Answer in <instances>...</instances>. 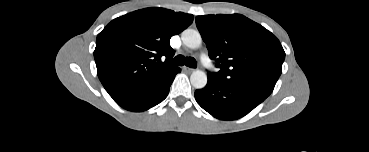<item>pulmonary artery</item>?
Segmentation results:
<instances>
[{
	"instance_id": "obj_1",
	"label": "pulmonary artery",
	"mask_w": 369,
	"mask_h": 152,
	"mask_svg": "<svg viewBox=\"0 0 369 152\" xmlns=\"http://www.w3.org/2000/svg\"><path fill=\"white\" fill-rule=\"evenodd\" d=\"M201 60L203 62V64L208 68V69H213V65L212 63L210 62V60L207 58V56L203 55L201 57Z\"/></svg>"
}]
</instances>
